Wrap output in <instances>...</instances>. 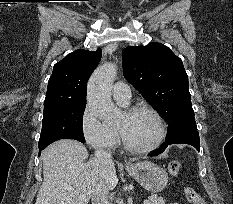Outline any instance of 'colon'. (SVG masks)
Returning <instances> with one entry per match:
<instances>
[{
  "label": "colon",
  "mask_w": 233,
  "mask_h": 204,
  "mask_svg": "<svg viewBox=\"0 0 233 204\" xmlns=\"http://www.w3.org/2000/svg\"><path fill=\"white\" fill-rule=\"evenodd\" d=\"M182 165L180 161L174 160L169 163L168 169L169 172L176 176L180 173ZM185 196L191 204H206L202 196L192 187L187 186L184 189Z\"/></svg>",
  "instance_id": "obj_1"
}]
</instances>
